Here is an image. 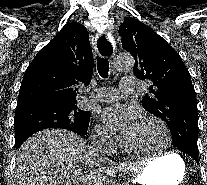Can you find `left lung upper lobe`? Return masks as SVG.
<instances>
[{
  "label": "left lung upper lobe",
  "mask_w": 207,
  "mask_h": 185,
  "mask_svg": "<svg viewBox=\"0 0 207 185\" xmlns=\"http://www.w3.org/2000/svg\"><path fill=\"white\" fill-rule=\"evenodd\" d=\"M123 48L130 52L137 78L151 85L142 105L168 125L173 146L189 154L198 153V110L190 73L180 55L152 28L135 18L119 27Z\"/></svg>",
  "instance_id": "left-lung-upper-lobe-1"
}]
</instances>
